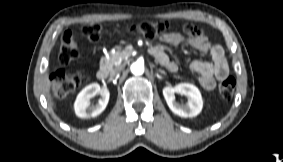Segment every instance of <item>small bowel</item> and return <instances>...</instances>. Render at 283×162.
<instances>
[{
	"label": "small bowel",
	"mask_w": 283,
	"mask_h": 162,
	"mask_svg": "<svg viewBox=\"0 0 283 162\" xmlns=\"http://www.w3.org/2000/svg\"><path fill=\"white\" fill-rule=\"evenodd\" d=\"M185 31V34L176 31L166 33L161 36V41L171 45L187 43L200 53H208L212 62L195 60L191 63L190 68L198 75L200 85L206 90H212L217 81H222L229 74V65L224 50L221 46L211 43L209 38L194 26H186ZM151 52L169 71L177 70V64L168 57L163 49L154 47Z\"/></svg>",
	"instance_id": "c3829d8e"
}]
</instances>
